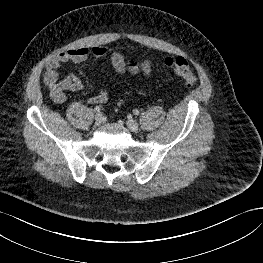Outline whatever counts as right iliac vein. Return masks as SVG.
Returning a JSON list of instances; mask_svg holds the SVG:
<instances>
[{
	"label": "right iliac vein",
	"instance_id": "obj_1",
	"mask_svg": "<svg viewBox=\"0 0 263 263\" xmlns=\"http://www.w3.org/2000/svg\"><path fill=\"white\" fill-rule=\"evenodd\" d=\"M102 121H103L102 113H100V112L96 113V115H95V124L96 125H100L102 123Z\"/></svg>",
	"mask_w": 263,
	"mask_h": 263
}]
</instances>
